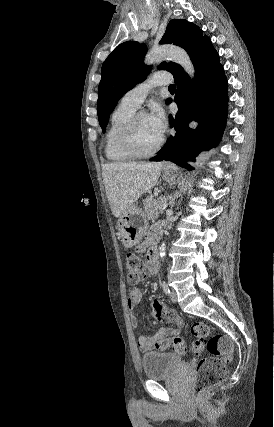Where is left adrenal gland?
<instances>
[{
	"instance_id": "left-adrenal-gland-1",
	"label": "left adrenal gland",
	"mask_w": 274,
	"mask_h": 427,
	"mask_svg": "<svg viewBox=\"0 0 274 427\" xmlns=\"http://www.w3.org/2000/svg\"><path fill=\"white\" fill-rule=\"evenodd\" d=\"M174 204H175V198H171V196H169V206L173 208Z\"/></svg>"
}]
</instances>
